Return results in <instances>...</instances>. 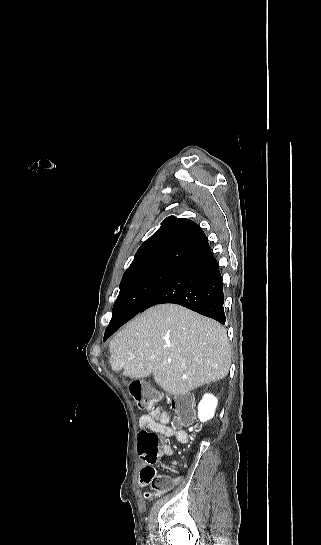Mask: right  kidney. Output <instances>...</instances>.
I'll list each match as a JSON object with an SVG mask.
<instances>
[{
	"instance_id": "ca27d5eb",
	"label": "right kidney",
	"mask_w": 321,
	"mask_h": 545,
	"mask_svg": "<svg viewBox=\"0 0 321 545\" xmlns=\"http://www.w3.org/2000/svg\"><path fill=\"white\" fill-rule=\"evenodd\" d=\"M217 405L218 401L214 395H209V393L204 395L202 401H200L198 405V419H200L201 423L213 419Z\"/></svg>"
}]
</instances>
